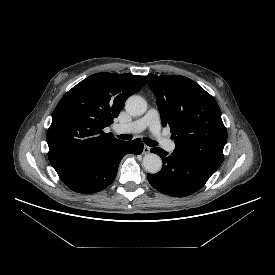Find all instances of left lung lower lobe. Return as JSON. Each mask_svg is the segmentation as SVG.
Returning <instances> with one entry per match:
<instances>
[{"label": "left lung lower lobe", "mask_w": 275, "mask_h": 275, "mask_svg": "<svg viewBox=\"0 0 275 275\" xmlns=\"http://www.w3.org/2000/svg\"><path fill=\"white\" fill-rule=\"evenodd\" d=\"M150 151L161 157L163 166L160 172L148 174L147 179L153 188L164 194L173 197L191 195L203 187L214 173L174 151L171 155L159 147Z\"/></svg>", "instance_id": "obj_1"}]
</instances>
